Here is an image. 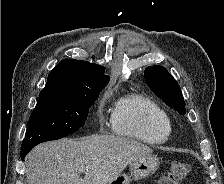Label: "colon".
<instances>
[{
	"label": "colon",
	"mask_w": 224,
	"mask_h": 184,
	"mask_svg": "<svg viewBox=\"0 0 224 184\" xmlns=\"http://www.w3.org/2000/svg\"><path fill=\"white\" fill-rule=\"evenodd\" d=\"M190 173V165L182 161H174L169 170L160 179L158 184H182Z\"/></svg>",
	"instance_id": "colon-1"
}]
</instances>
